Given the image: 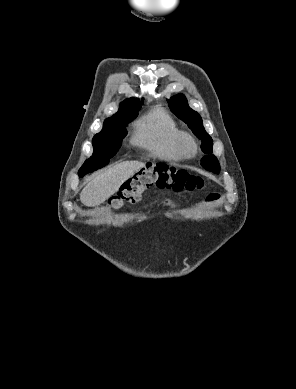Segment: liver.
Segmentation results:
<instances>
[{"instance_id":"1","label":"liver","mask_w":296,"mask_h":389,"mask_svg":"<svg viewBox=\"0 0 296 389\" xmlns=\"http://www.w3.org/2000/svg\"><path fill=\"white\" fill-rule=\"evenodd\" d=\"M143 166V162L124 161L93 176L80 194L81 202L88 207L100 205Z\"/></svg>"}]
</instances>
